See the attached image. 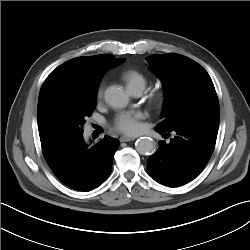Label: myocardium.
<instances>
[{
	"instance_id": "1",
	"label": "myocardium",
	"mask_w": 250,
	"mask_h": 250,
	"mask_svg": "<svg viewBox=\"0 0 250 250\" xmlns=\"http://www.w3.org/2000/svg\"><path fill=\"white\" fill-rule=\"evenodd\" d=\"M164 98H165L164 93L157 92L153 95L152 101L156 106H160L163 104Z\"/></svg>"
}]
</instances>
